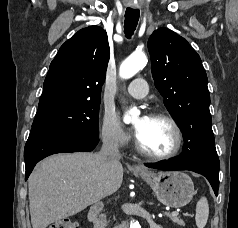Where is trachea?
I'll list each match as a JSON object with an SVG mask.
<instances>
[{
    "instance_id": "trachea-1",
    "label": "trachea",
    "mask_w": 238,
    "mask_h": 228,
    "mask_svg": "<svg viewBox=\"0 0 238 228\" xmlns=\"http://www.w3.org/2000/svg\"><path fill=\"white\" fill-rule=\"evenodd\" d=\"M140 16L139 10L127 9L125 12L124 33L127 38L134 34Z\"/></svg>"
}]
</instances>
